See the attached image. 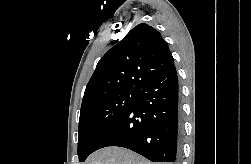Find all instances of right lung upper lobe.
Returning <instances> with one entry per match:
<instances>
[{
    "mask_svg": "<svg viewBox=\"0 0 251 164\" xmlns=\"http://www.w3.org/2000/svg\"><path fill=\"white\" fill-rule=\"evenodd\" d=\"M174 59L167 43L153 27H134L98 62L90 78L82 105L106 93L138 89L170 66Z\"/></svg>",
    "mask_w": 251,
    "mask_h": 164,
    "instance_id": "obj_1",
    "label": "right lung upper lobe"
}]
</instances>
